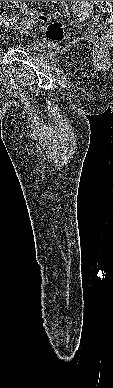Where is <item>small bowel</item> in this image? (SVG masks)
Returning <instances> with one entry per match:
<instances>
[{"label": "small bowel", "instance_id": "c3829d8e", "mask_svg": "<svg viewBox=\"0 0 113 388\" xmlns=\"http://www.w3.org/2000/svg\"><path fill=\"white\" fill-rule=\"evenodd\" d=\"M15 7L17 8H21L22 7V4H21V1H10ZM1 3V1H0Z\"/></svg>", "mask_w": 113, "mask_h": 388}]
</instances>
